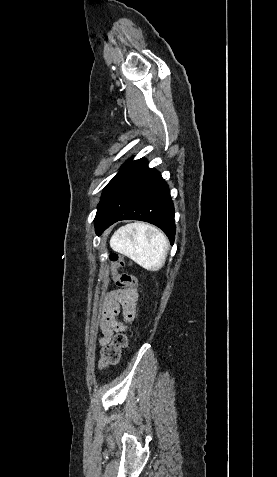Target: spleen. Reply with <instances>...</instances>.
<instances>
[{
	"label": "spleen",
	"instance_id": "1",
	"mask_svg": "<svg viewBox=\"0 0 277 477\" xmlns=\"http://www.w3.org/2000/svg\"><path fill=\"white\" fill-rule=\"evenodd\" d=\"M111 248L148 271H158L165 263L168 241L156 227L135 222L119 228L110 239Z\"/></svg>",
	"mask_w": 277,
	"mask_h": 477
}]
</instances>
